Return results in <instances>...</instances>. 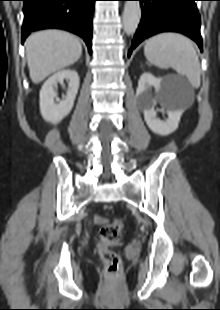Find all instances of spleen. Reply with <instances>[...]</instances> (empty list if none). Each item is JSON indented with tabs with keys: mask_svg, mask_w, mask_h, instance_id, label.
<instances>
[{
	"mask_svg": "<svg viewBox=\"0 0 220 310\" xmlns=\"http://www.w3.org/2000/svg\"><path fill=\"white\" fill-rule=\"evenodd\" d=\"M147 60L162 69L173 68L187 77L194 88L200 86V65L193 43L178 33H161L150 38L144 47Z\"/></svg>",
	"mask_w": 220,
	"mask_h": 310,
	"instance_id": "spleen-1",
	"label": "spleen"
}]
</instances>
